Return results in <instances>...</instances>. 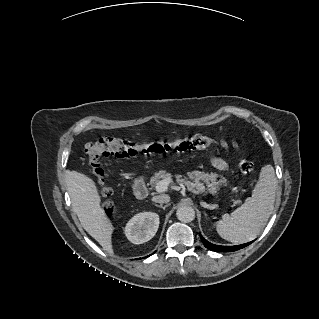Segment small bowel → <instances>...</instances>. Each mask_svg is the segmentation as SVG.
<instances>
[{"mask_svg": "<svg viewBox=\"0 0 319 319\" xmlns=\"http://www.w3.org/2000/svg\"><path fill=\"white\" fill-rule=\"evenodd\" d=\"M210 162L215 168H217L219 170H226L227 169L226 161L219 158V157H216V156L210 157Z\"/></svg>", "mask_w": 319, "mask_h": 319, "instance_id": "obj_1", "label": "small bowel"}]
</instances>
